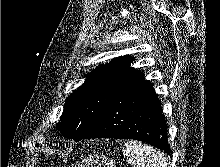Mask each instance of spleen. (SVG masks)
<instances>
[{"label": "spleen", "instance_id": "obj_1", "mask_svg": "<svg viewBox=\"0 0 220 167\" xmlns=\"http://www.w3.org/2000/svg\"><path fill=\"white\" fill-rule=\"evenodd\" d=\"M122 152L134 167H168L167 159L160 150L140 142L127 141Z\"/></svg>", "mask_w": 220, "mask_h": 167}]
</instances>
